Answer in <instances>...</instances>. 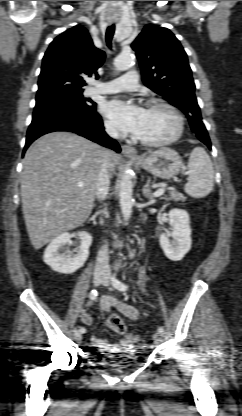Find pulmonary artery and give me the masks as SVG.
I'll return each instance as SVG.
<instances>
[{
    "label": "pulmonary artery",
    "instance_id": "1",
    "mask_svg": "<svg viewBox=\"0 0 242 416\" xmlns=\"http://www.w3.org/2000/svg\"><path fill=\"white\" fill-rule=\"evenodd\" d=\"M139 87L138 74L135 70H129L118 78L97 83L92 88V93L113 94L123 91H135Z\"/></svg>",
    "mask_w": 242,
    "mask_h": 416
}]
</instances>
